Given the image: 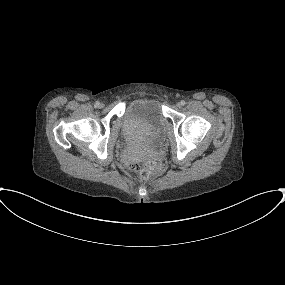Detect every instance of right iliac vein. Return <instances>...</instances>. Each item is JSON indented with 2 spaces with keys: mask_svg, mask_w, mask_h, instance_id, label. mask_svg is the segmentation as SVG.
Instances as JSON below:
<instances>
[{
  "mask_svg": "<svg viewBox=\"0 0 285 285\" xmlns=\"http://www.w3.org/2000/svg\"><path fill=\"white\" fill-rule=\"evenodd\" d=\"M98 107H103V104H102V103H99Z\"/></svg>",
  "mask_w": 285,
  "mask_h": 285,
  "instance_id": "right-iliac-vein-1",
  "label": "right iliac vein"
}]
</instances>
